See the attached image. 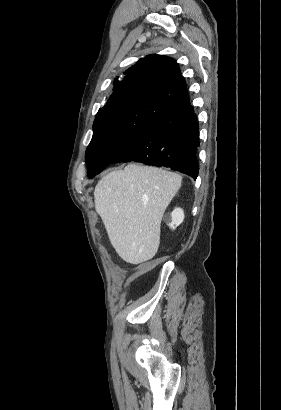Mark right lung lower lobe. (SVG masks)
Listing matches in <instances>:
<instances>
[{
    "label": "right lung lower lobe",
    "instance_id": "1",
    "mask_svg": "<svg viewBox=\"0 0 281 410\" xmlns=\"http://www.w3.org/2000/svg\"><path fill=\"white\" fill-rule=\"evenodd\" d=\"M199 127L188 97L166 108L113 163L169 167L196 180Z\"/></svg>",
    "mask_w": 281,
    "mask_h": 410
}]
</instances>
